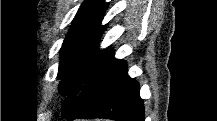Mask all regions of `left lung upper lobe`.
Wrapping results in <instances>:
<instances>
[{
  "label": "left lung upper lobe",
  "instance_id": "left-lung-upper-lobe-1",
  "mask_svg": "<svg viewBox=\"0 0 217 121\" xmlns=\"http://www.w3.org/2000/svg\"><path fill=\"white\" fill-rule=\"evenodd\" d=\"M107 4L104 0H85L60 49L59 92L68 95L62 114L72 119L88 86L108 62L113 52L99 50V38L105 26L101 20Z\"/></svg>",
  "mask_w": 217,
  "mask_h": 121
}]
</instances>
